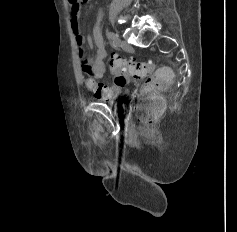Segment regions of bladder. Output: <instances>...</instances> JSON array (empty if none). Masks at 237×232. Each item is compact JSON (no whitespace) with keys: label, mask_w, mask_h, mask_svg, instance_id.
<instances>
[{"label":"bladder","mask_w":237,"mask_h":232,"mask_svg":"<svg viewBox=\"0 0 237 232\" xmlns=\"http://www.w3.org/2000/svg\"><path fill=\"white\" fill-rule=\"evenodd\" d=\"M110 102L115 104V103H116V100H115V99H113V100H111Z\"/></svg>","instance_id":"31cf9c89"}]
</instances>
